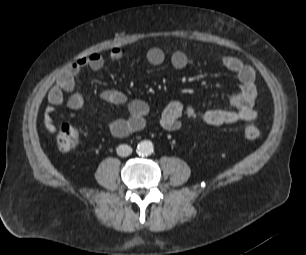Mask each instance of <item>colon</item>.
I'll use <instances>...</instances> for the list:
<instances>
[{"instance_id": "obj_1", "label": "colon", "mask_w": 306, "mask_h": 255, "mask_svg": "<svg viewBox=\"0 0 306 255\" xmlns=\"http://www.w3.org/2000/svg\"><path fill=\"white\" fill-rule=\"evenodd\" d=\"M244 133L248 139H256L260 136V130L254 125L247 126ZM56 142L60 151L69 152L78 144L79 132L73 126L64 124L57 134Z\"/></svg>"}]
</instances>
